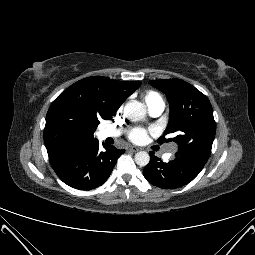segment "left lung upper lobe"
Masks as SVG:
<instances>
[{"label": "left lung upper lobe", "instance_id": "obj_1", "mask_svg": "<svg viewBox=\"0 0 255 255\" xmlns=\"http://www.w3.org/2000/svg\"><path fill=\"white\" fill-rule=\"evenodd\" d=\"M165 93L170 105V121L164 135L174 133L178 144L176 157L205 164L210 156L216 125L208 98L191 84L180 79L151 81ZM164 136L159 138L162 143Z\"/></svg>", "mask_w": 255, "mask_h": 255}]
</instances>
